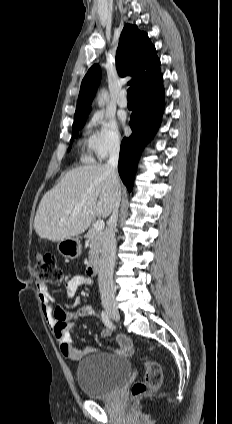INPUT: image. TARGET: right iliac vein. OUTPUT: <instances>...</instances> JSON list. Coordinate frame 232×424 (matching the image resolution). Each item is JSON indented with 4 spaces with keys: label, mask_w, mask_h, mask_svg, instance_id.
Masks as SVG:
<instances>
[{
    "label": "right iliac vein",
    "mask_w": 232,
    "mask_h": 424,
    "mask_svg": "<svg viewBox=\"0 0 232 424\" xmlns=\"http://www.w3.org/2000/svg\"><path fill=\"white\" fill-rule=\"evenodd\" d=\"M104 309L106 311L107 314H109L114 320H119L120 316H119V312L117 307L112 304V303H105L104 304Z\"/></svg>",
    "instance_id": "63e3f726"
}]
</instances>
